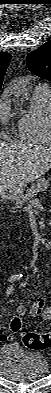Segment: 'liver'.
Returning a JSON list of instances; mask_svg holds the SVG:
<instances>
[{
    "label": "liver",
    "instance_id": "6515ba94",
    "mask_svg": "<svg viewBox=\"0 0 51 393\" xmlns=\"http://www.w3.org/2000/svg\"><path fill=\"white\" fill-rule=\"evenodd\" d=\"M51 168V148L0 142V192L12 193Z\"/></svg>",
    "mask_w": 51,
    "mask_h": 393
}]
</instances>
